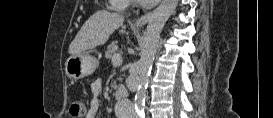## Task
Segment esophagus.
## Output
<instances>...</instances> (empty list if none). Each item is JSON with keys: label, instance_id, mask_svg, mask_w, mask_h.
I'll return each instance as SVG.
<instances>
[{"label": "esophagus", "instance_id": "1", "mask_svg": "<svg viewBox=\"0 0 273 118\" xmlns=\"http://www.w3.org/2000/svg\"><path fill=\"white\" fill-rule=\"evenodd\" d=\"M152 15H153V12H148L145 15L141 16L140 18H138L135 21V26L140 27V26L145 25L146 23L149 22V20L151 19Z\"/></svg>", "mask_w": 273, "mask_h": 118}]
</instances>
